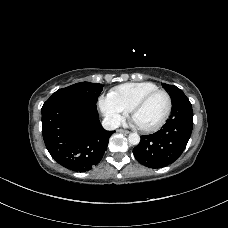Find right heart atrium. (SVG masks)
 Here are the masks:
<instances>
[{"label": "right heart atrium", "mask_w": 228, "mask_h": 228, "mask_svg": "<svg viewBox=\"0 0 228 228\" xmlns=\"http://www.w3.org/2000/svg\"><path fill=\"white\" fill-rule=\"evenodd\" d=\"M98 105L104 117L112 125L118 124L127 112L109 95H102L98 100Z\"/></svg>", "instance_id": "obj_1"}]
</instances>
